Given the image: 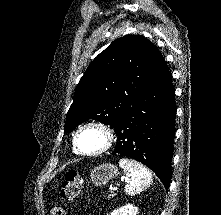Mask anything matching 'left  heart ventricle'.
Instances as JSON below:
<instances>
[{
	"instance_id": "1",
	"label": "left heart ventricle",
	"mask_w": 221,
	"mask_h": 215,
	"mask_svg": "<svg viewBox=\"0 0 221 215\" xmlns=\"http://www.w3.org/2000/svg\"><path fill=\"white\" fill-rule=\"evenodd\" d=\"M104 143L103 134L94 128L84 130L78 138V146L84 152H93Z\"/></svg>"
}]
</instances>
